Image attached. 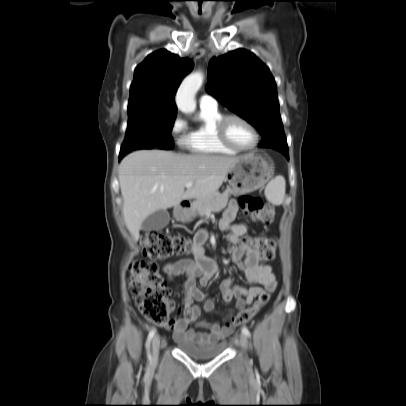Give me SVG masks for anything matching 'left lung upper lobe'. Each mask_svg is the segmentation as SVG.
<instances>
[{"label": "left lung upper lobe", "mask_w": 406, "mask_h": 406, "mask_svg": "<svg viewBox=\"0 0 406 406\" xmlns=\"http://www.w3.org/2000/svg\"><path fill=\"white\" fill-rule=\"evenodd\" d=\"M208 71L207 93L259 131V147L287 151L277 86L268 67L250 51L237 49L213 57Z\"/></svg>", "instance_id": "5c2ea615"}]
</instances>
